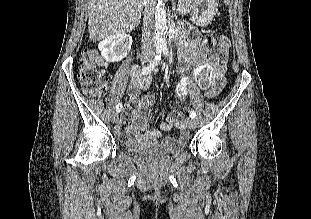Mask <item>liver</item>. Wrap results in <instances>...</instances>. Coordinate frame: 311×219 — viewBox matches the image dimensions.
I'll list each match as a JSON object with an SVG mask.
<instances>
[{
  "mask_svg": "<svg viewBox=\"0 0 311 219\" xmlns=\"http://www.w3.org/2000/svg\"><path fill=\"white\" fill-rule=\"evenodd\" d=\"M88 30L94 42L132 31L141 19L142 0H87Z\"/></svg>",
  "mask_w": 311,
  "mask_h": 219,
  "instance_id": "liver-1",
  "label": "liver"
}]
</instances>
